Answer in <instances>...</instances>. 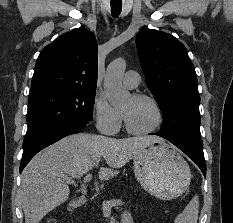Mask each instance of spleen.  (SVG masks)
Segmentation results:
<instances>
[{"instance_id": "spleen-1", "label": "spleen", "mask_w": 233, "mask_h": 223, "mask_svg": "<svg viewBox=\"0 0 233 223\" xmlns=\"http://www.w3.org/2000/svg\"><path fill=\"white\" fill-rule=\"evenodd\" d=\"M199 213V197L194 195L182 213H179L177 223H197Z\"/></svg>"}]
</instances>
